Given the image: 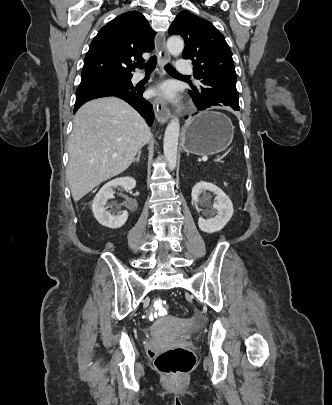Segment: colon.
Returning a JSON list of instances; mask_svg holds the SVG:
<instances>
[{
	"instance_id": "1",
	"label": "colon",
	"mask_w": 332,
	"mask_h": 405,
	"mask_svg": "<svg viewBox=\"0 0 332 405\" xmlns=\"http://www.w3.org/2000/svg\"><path fill=\"white\" fill-rule=\"evenodd\" d=\"M150 315L154 318L167 315V305L163 298L157 297L152 301ZM154 364L158 371L169 376H181L194 367L196 357L187 346H178L154 353Z\"/></svg>"
}]
</instances>
